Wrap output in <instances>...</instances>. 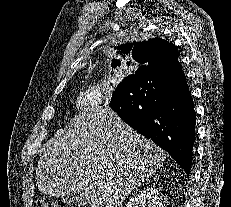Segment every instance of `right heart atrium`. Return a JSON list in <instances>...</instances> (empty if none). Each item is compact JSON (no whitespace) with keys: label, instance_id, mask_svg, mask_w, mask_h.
Returning a JSON list of instances; mask_svg holds the SVG:
<instances>
[{"label":"right heart atrium","instance_id":"d8ad5b80","mask_svg":"<svg viewBox=\"0 0 231 207\" xmlns=\"http://www.w3.org/2000/svg\"><path fill=\"white\" fill-rule=\"evenodd\" d=\"M74 104L78 111L85 115H92L102 108L104 101L98 90L87 89L76 95Z\"/></svg>","mask_w":231,"mask_h":207}]
</instances>
